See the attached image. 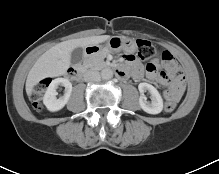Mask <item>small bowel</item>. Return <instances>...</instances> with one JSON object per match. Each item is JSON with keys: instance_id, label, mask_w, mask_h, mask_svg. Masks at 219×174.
<instances>
[{"instance_id": "1", "label": "small bowel", "mask_w": 219, "mask_h": 174, "mask_svg": "<svg viewBox=\"0 0 219 174\" xmlns=\"http://www.w3.org/2000/svg\"><path fill=\"white\" fill-rule=\"evenodd\" d=\"M124 62H126L127 70L130 71L135 78H141L142 68L133 54L126 55ZM149 66H151V70L147 67V75L150 80L170 85V89H166L163 92V99L166 102L180 103L183 100L185 79L173 55L169 51H165L162 55L161 64L158 61H154L149 64ZM160 67H163L168 72V78L158 74L157 71Z\"/></svg>"}]
</instances>
